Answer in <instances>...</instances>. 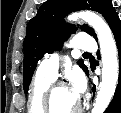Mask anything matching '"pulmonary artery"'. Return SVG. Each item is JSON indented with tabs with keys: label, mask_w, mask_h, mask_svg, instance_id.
Instances as JSON below:
<instances>
[{
	"label": "pulmonary artery",
	"mask_w": 121,
	"mask_h": 113,
	"mask_svg": "<svg viewBox=\"0 0 121 113\" xmlns=\"http://www.w3.org/2000/svg\"><path fill=\"white\" fill-rule=\"evenodd\" d=\"M76 49L80 51H93L95 48L94 40L88 34H77L75 36ZM60 56L58 53L51 54L45 57L39 64L37 73L47 76L51 79H56Z\"/></svg>",
	"instance_id": "pulmonary-artery-1"
}]
</instances>
